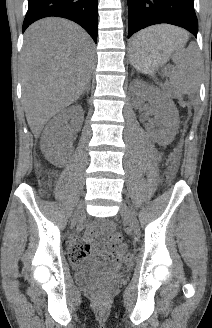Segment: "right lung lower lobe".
Wrapping results in <instances>:
<instances>
[{
  "label": "right lung lower lobe",
  "instance_id": "98d812e1",
  "mask_svg": "<svg viewBox=\"0 0 212 328\" xmlns=\"http://www.w3.org/2000/svg\"><path fill=\"white\" fill-rule=\"evenodd\" d=\"M48 16L73 20L97 42V0H28V11L23 22V32L36 20Z\"/></svg>",
  "mask_w": 212,
  "mask_h": 328
}]
</instances>
